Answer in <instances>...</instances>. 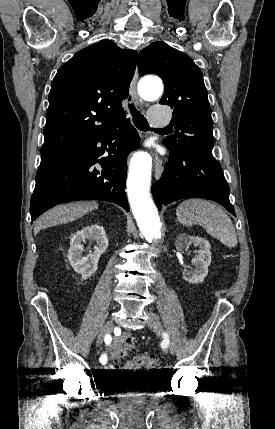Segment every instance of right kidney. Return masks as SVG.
<instances>
[{
	"label": "right kidney",
	"mask_w": 275,
	"mask_h": 429,
	"mask_svg": "<svg viewBox=\"0 0 275 429\" xmlns=\"http://www.w3.org/2000/svg\"><path fill=\"white\" fill-rule=\"evenodd\" d=\"M89 240L90 244L96 242L93 251L89 255L83 256L84 247L82 242ZM108 247V239L103 226L93 224L77 231L70 238V248L68 250V259L74 271L82 275V279L91 277L98 268L100 256Z\"/></svg>",
	"instance_id": "right-kidney-1"
}]
</instances>
